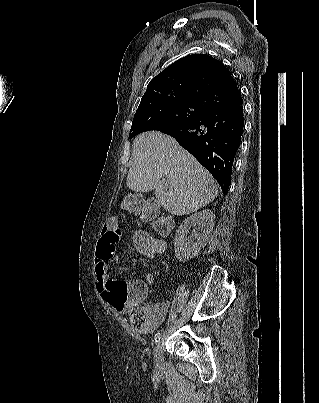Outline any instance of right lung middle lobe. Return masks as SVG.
I'll return each instance as SVG.
<instances>
[{
  "label": "right lung middle lobe",
  "mask_w": 319,
  "mask_h": 403,
  "mask_svg": "<svg viewBox=\"0 0 319 403\" xmlns=\"http://www.w3.org/2000/svg\"><path fill=\"white\" fill-rule=\"evenodd\" d=\"M208 112L207 109L190 103H161L147 106L135 113L130 139L144 131L192 124L202 119Z\"/></svg>",
  "instance_id": "1"
}]
</instances>
